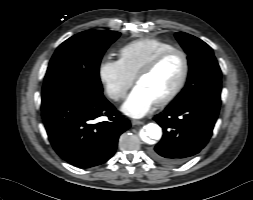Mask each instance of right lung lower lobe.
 <instances>
[{"instance_id": "1", "label": "right lung lower lobe", "mask_w": 253, "mask_h": 200, "mask_svg": "<svg viewBox=\"0 0 253 200\" xmlns=\"http://www.w3.org/2000/svg\"><path fill=\"white\" fill-rule=\"evenodd\" d=\"M42 116L49 140L68 163L90 168L110 159L120 134L130 127L104 96L73 91L42 93ZM100 116L109 121L96 123Z\"/></svg>"}]
</instances>
